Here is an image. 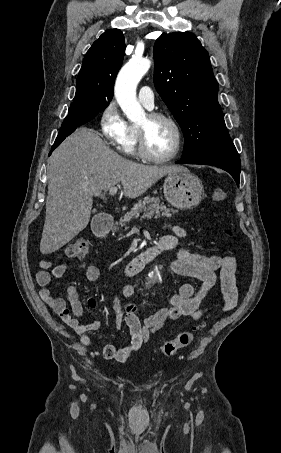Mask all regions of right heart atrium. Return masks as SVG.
Instances as JSON below:
<instances>
[{
	"instance_id": "obj_1",
	"label": "right heart atrium",
	"mask_w": 281,
	"mask_h": 453,
	"mask_svg": "<svg viewBox=\"0 0 281 453\" xmlns=\"http://www.w3.org/2000/svg\"><path fill=\"white\" fill-rule=\"evenodd\" d=\"M116 98L118 97L128 100L130 96V85L128 80H116L115 83ZM117 101H111L101 112L100 129L103 136L111 143H119L124 136L126 130V121L122 117ZM119 103V102H118ZM108 158L113 163H118L119 158L113 152L107 153Z\"/></svg>"
}]
</instances>
